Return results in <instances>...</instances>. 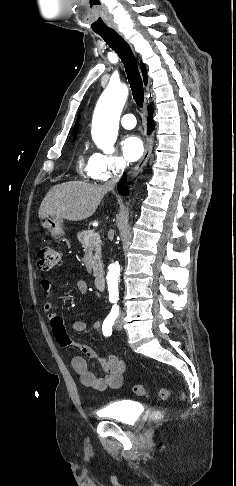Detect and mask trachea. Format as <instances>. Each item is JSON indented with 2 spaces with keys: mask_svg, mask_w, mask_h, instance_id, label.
<instances>
[{
  "mask_svg": "<svg viewBox=\"0 0 236 486\" xmlns=\"http://www.w3.org/2000/svg\"><path fill=\"white\" fill-rule=\"evenodd\" d=\"M120 57L124 64L125 72L129 80L133 98L139 107L143 106L144 90L143 82L138 70L136 58L128 43L114 30L108 28L96 32Z\"/></svg>",
  "mask_w": 236,
  "mask_h": 486,
  "instance_id": "obj_1",
  "label": "trachea"
}]
</instances>
